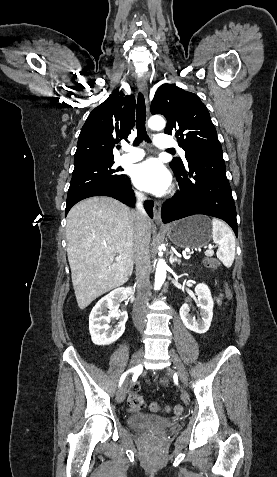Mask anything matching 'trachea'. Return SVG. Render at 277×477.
I'll list each match as a JSON object with an SVG mask.
<instances>
[{"label":"trachea","mask_w":277,"mask_h":477,"mask_svg":"<svg viewBox=\"0 0 277 477\" xmlns=\"http://www.w3.org/2000/svg\"><path fill=\"white\" fill-rule=\"evenodd\" d=\"M145 122H146V106H145L144 96L141 93H139L138 99H137V110H136L137 137L134 141V145H138L143 140L150 142V139L146 132ZM168 151L175 152L172 149Z\"/></svg>","instance_id":"trachea-1"}]
</instances>
